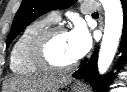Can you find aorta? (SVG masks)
I'll list each match as a JSON object with an SVG mask.
<instances>
[{"label": "aorta", "mask_w": 127, "mask_h": 92, "mask_svg": "<svg viewBox=\"0 0 127 92\" xmlns=\"http://www.w3.org/2000/svg\"><path fill=\"white\" fill-rule=\"evenodd\" d=\"M105 10V28L98 57V70L104 74L110 67L119 45L123 28L120 0H100Z\"/></svg>", "instance_id": "762f6f07"}]
</instances>
